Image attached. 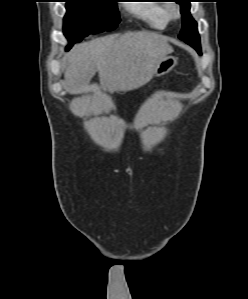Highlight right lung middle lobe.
<instances>
[{
	"mask_svg": "<svg viewBox=\"0 0 248 299\" xmlns=\"http://www.w3.org/2000/svg\"><path fill=\"white\" fill-rule=\"evenodd\" d=\"M64 35L70 45L87 36L115 29L120 22L116 0H66Z\"/></svg>",
	"mask_w": 248,
	"mask_h": 299,
	"instance_id": "dd1d6c3e",
	"label": "right lung middle lobe"
}]
</instances>
